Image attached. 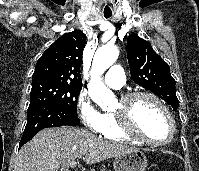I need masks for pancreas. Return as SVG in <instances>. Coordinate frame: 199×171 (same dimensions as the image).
Instances as JSON below:
<instances>
[{"mask_svg":"<svg viewBox=\"0 0 199 171\" xmlns=\"http://www.w3.org/2000/svg\"><path fill=\"white\" fill-rule=\"evenodd\" d=\"M91 171H95V170H91ZM102 171H105V170H102ZM109 171H111V170H109Z\"/></svg>","mask_w":199,"mask_h":171,"instance_id":"obj_1","label":"pancreas"}]
</instances>
